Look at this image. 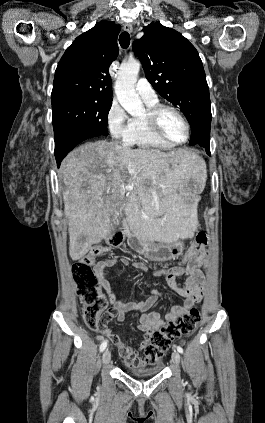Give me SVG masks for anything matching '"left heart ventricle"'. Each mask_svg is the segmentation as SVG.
<instances>
[{
    "label": "left heart ventricle",
    "instance_id": "left-heart-ventricle-1",
    "mask_svg": "<svg viewBox=\"0 0 265 423\" xmlns=\"http://www.w3.org/2000/svg\"><path fill=\"white\" fill-rule=\"evenodd\" d=\"M160 126L164 134L175 142H181L186 137V128L182 120L173 112L165 111L160 117Z\"/></svg>",
    "mask_w": 265,
    "mask_h": 423
}]
</instances>
